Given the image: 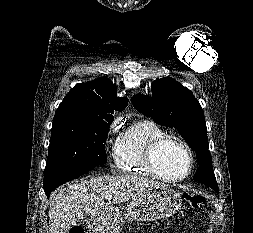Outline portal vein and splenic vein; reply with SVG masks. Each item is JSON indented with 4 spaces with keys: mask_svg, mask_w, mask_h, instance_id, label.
Here are the masks:
<instances>
[{
    "mask_svg": "<svg viewBox=\"0 0 253 233\" xmlns=\"http://www.w3.org/2000/svg\"><path fill=\"white\" fill-rule=\"evenodd\" d=\"M106 200H109V201L112 200V195H107Z\"/></svg>",
    "mask_w": 253,
    "mask_h": 233,
    "instance_id": "1",
    "label": "portal vein and splenic vein"
}]
</instances>
